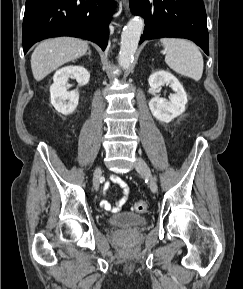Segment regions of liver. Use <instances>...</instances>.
I'll use <instances>...</instances> for the list:
<instances>
[{
  "instance_id": "obj_1",
  "label": "liver",
  "mask_w": 243,
  "mask_h": 289,
  "mask_svg": "<svg viewBox=\"0 0 243 289\" xmlns=\"http://www.w3.org/2000/svg\"><path fill=\"white\" fill-rule=\"evenodd\" d=\"M88 43L73 37H58L42 41L31 55V69L36 81L63 64L86 54Z\"/></svg>"
}]
</instances>
